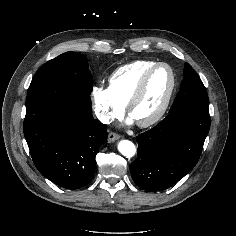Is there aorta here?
Masks as SVG:
<instances>
[{"label": "aorta", "mask_w": 236, "mask_h": 236, "mask_svg": "<svg viewBox=\"0 0 236 236\" xmlns=\"http://www.w3.org/2000/svg\"><path fill=\"white\" fill-rule=\"evenodd\" d=\"M118 150L127 158L133 157L136 153L135 145L129 140H121L118 144Z\"/></svg>", "instance_id": "obj_1"}]
</instances>
